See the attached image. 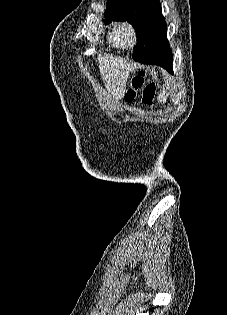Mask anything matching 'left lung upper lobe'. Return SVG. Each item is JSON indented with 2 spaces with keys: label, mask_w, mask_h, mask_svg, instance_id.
Returning <instances> with one entry per match:
<instances>
[{
  "label": "left lung upper lobe",
  "mask_w": 227,
  "mask_h": 315,
  "mask_svg": "<svg viewBox=\"0 0 227 315\" xmlns=\"http://www.w3.org/2000/svg\"><path fill=\"white\" fill-rule=\"evenodd\" d=\"M104 15L109 22L115 19L129 20L136 30L138 42L152 37L163 51L171 54L159 0H107Z\"/></svg>",
  "instance_id": "1"
}]
</instances>
